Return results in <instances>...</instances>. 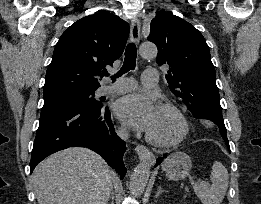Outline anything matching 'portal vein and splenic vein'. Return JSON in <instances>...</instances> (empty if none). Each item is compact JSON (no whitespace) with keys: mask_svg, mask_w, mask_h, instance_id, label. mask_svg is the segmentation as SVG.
<instances>
[{"mask_svg":"<svg viewBox=\"0 0 261 204\" xmlns=\"http://www.w3.org/2000/svg\"><path fill=\"white\" fill-rule=\"evenodd\" d=\"M198 184H207V183L206 181H196V182L192 181V185L196 186Z\"/></svg>","mask_w":261,"mask_h":204,"instance_id":"1","label":"portal vein and splenic vein"}]
</instances>
